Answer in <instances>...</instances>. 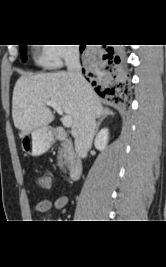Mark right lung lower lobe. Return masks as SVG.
Here are the masks:
<instances>
[{
	"instance_id": "98d812e1",
	"label": "right lung lower lobe",
	"mask_w": 166,
	"mask_h": 267,
	"mask_svg": "<svg viewBox=\"0 0 166 267\" xmlns=\"http://www.w3.org/2000/svg\"><path fill=\"white\" fill-rule=\"evenodd\" d=\"M85 46L86 45H80V52L85 49ZM105 51L107 54L104 55L103 59H107V61L103 75L98 78V75L93 71H88L87 75L91 78H98V80L93 81L92 84L95 86V91L101 97L109 96L117 102L126 96L123 63L122 59L118 56L120 50L107 47ZM87 80H89V78H87Z\"/></svg>"
}]
</instances>
